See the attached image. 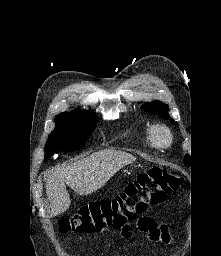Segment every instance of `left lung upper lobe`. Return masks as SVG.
<instances>
[{"label": "left lung upper lobe", "mask_w": 221, "mask_h": 256, "mask_svg": "<svg viewBox=\"0 0 221 256\" xmlns=\"http://www.w3.org/2000/svg\"><path fill=\"white\" fill-rule=\"evenodd\" d=\"M141 108H143L146 112L157 113L160 116L170 119V121H172V122H175L172 118H170V116L167 113L169 110L168 105H166L160 101H153L151 103L144 104V105H142ZM184 161L186 164L189 165V157L188 156H186L184 158Z\"/></svg>", "instance_id": "5c2ea615"}]
</instances>
